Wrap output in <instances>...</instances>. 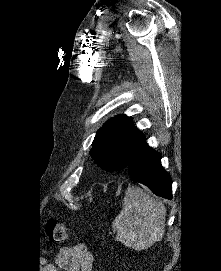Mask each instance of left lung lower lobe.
<instances>
[{"label": "left lung lower lobe", "instance_id": "obj_1", "mask_svg": "<svg viewBox=\"0 0 221 271\" xmlns=\"http://www.w3.org/2000/svg\"><path fill=\"white\" fill-rule=\"evenodd\" d=\"M131 179L147 186L154 194L172 199V180L160 163V154L144 141L126 167Z\"/></svg>", "mask_w": 221, "mask_h": 271}]
</instances>
